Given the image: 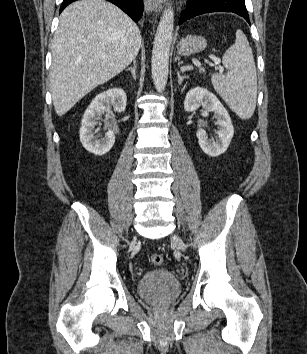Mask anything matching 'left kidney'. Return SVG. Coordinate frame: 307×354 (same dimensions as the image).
Instances as JSON below:
<instances>
[{
    "label": "left kidney",
    "instance_id": "obj_1",
    "mask_svg": "<svg viewBox=\"0 0 307 354\" xmlns=\"http://www.w3.org/2000/svg\"><path fill=\"white\" fill-rule=\"evenodd\" d=\"M200 105L205 110L214 112L215 124L218 126V130L216 131L217 136L215 141H211L203 129H199L196 136L201 149L207 155L217 157L227 150L234 135V128L227 110L216 95L206 88L195 87L188 91L184 101V109L187 112H193Z\"/></svg>",
    "mask_w": 307,
    "mask_h": 354
}]
</instances>
